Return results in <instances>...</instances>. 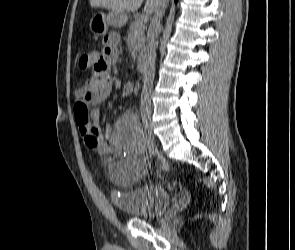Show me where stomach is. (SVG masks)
<instances>
[{"label": "stomach", "mask_w": 295, "mask_h": 250, "mask_svg": "<svg viewBox=\"0 0 295 250\" xmlns=\"http://www.w3.org/2000/svg\"><path fill=\"white\" fill-rule=\"evenodd\" d=\"M126 22L127 14L125 12L111 10L107 15H95V18L91 21L90 29L94 32V35H105L108 26L120 28Z\"/></svg>", "instance_id": "1"}]
</instances>
